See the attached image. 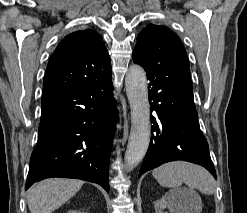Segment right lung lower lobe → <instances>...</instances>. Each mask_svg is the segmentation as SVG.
I'll use <instances>...</instances> for the list:
<instances>
[{"label": "right lung lower lobe", "instance_id": "98d812e1", "mask_svg": "<svg viewBox=\"0 0 247 213\" xmlns=\"http://www.w3.org/2000/svg\"><path fill=\"white\" fill-rule=\"evenodd\" d=\"M38 142L25 189L50 177L77 178L109 191L108 168L117 121L111 75L42 97Z\"/></svg>", "mask_w": 247, "mask_h": 213}]
</instances>
